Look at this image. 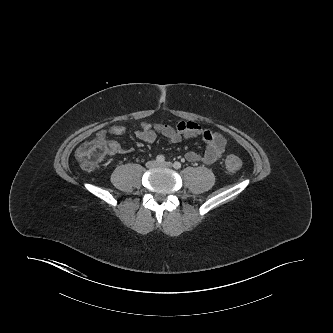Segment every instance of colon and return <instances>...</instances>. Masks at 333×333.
I'll list each match as a JSON object with an SVG mask.
<instances>
[{
    "mask_svg": "<svg viewBox=\"0 0 333 333\" xmlns=\"http://www.w3.org/2000/svg\"><path fill=\"white\" fill-rule=\"evenodd\" d=\"M109 154L111 148L107 140L95 138L78 148L76 158L84 169L95 170ZM241 165V159L237 155L226 156L225 166L228 171L235 172L241 168Z\"/></svg>",
    "mask_w": 333,
    "mask_h": 333,
    "instance_id": "1",
    "label": "colon"
}]
</instances>
